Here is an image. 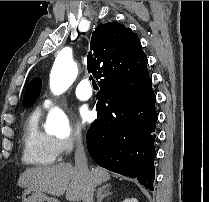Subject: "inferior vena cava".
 Here are the masks:
<instances>
[{"mask_svg": "<svg viewBox=\"0 0 209 202\" xmlns=\"http://www.w3.org/2000/svg\"><path fill=\"white\" fill-rule=\"evenodd\" d=\"M75 169L84 182L83 202H93V192L95 186L91 178V173L88 169L87 158L81 139H76Z\"/></svg>", "mask_w": 209, "mask_h": 202, "instance_id": "inferior-vena-cava-1", "label": "inferior vena cava"}]
</instances>
